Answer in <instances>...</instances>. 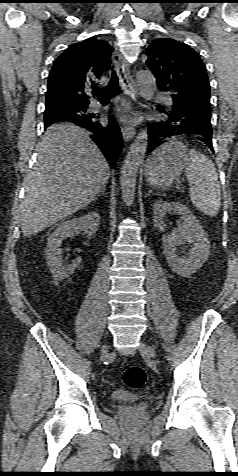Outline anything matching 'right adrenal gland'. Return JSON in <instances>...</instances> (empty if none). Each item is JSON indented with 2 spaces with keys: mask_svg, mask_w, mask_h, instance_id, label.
I'll list each match as a JSON object with an SVG mask.
<instances>
[{
  "mask_svg": "<svg viewBox=\"0 0 238 476\" xmlns=\"http://www.w3.org/2000/svg\"><path fill=\"white\" fill-rule=\"evenodd\" d=\"M101 194H102L103 196H105V197L107 196V195H106V186H104V187L102 188V190H101L100 193L95 197L94 200H97V198H98Z\"/></svg>",
  "mask_w": 238,
  "mask_h": 476,
  "instance_id": "2a0ac1e0",
  "label": "right adrenal gland"
}]
</instances>
